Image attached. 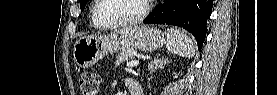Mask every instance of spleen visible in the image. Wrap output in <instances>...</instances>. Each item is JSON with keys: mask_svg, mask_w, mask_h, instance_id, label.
Instances as JSON below:
<instances>
[{"mask_svg": "<svg viewBox=\"0 0 277 95\" xmlns=\"http://www.w3.org/2000/svg\"><path fill=\"white\" fill-rule=\"evenodd\" d=\"M167 50L182 57H192L195 46L192 39L183 31L176 28L167 29Z\"/></svg>", "mask_w": 277, "mask_h": 95, "instance_id": "3e777b00", "label": "spleen"}]
</instances>
